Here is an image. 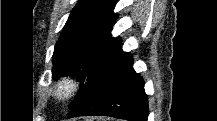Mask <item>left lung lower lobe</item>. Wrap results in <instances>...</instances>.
I'll return each mask as SVG.
<instances>
[{"label": "left lung lower lobe", "instance_id": "obj_1", "mask_svg": "<svg viewBox=\"0 0 217 121\" xmlns=\"http://www.w3.org/2000/svg\"><path fill=\"white\" fill-rule=\"evenodd\" d=\"M130 53L121 45L85 89L69 117L104 115L147 121L148 100L143 79L134 71Z\"/></svg>", "mask_w": 217, "mask_h": 121}]
</instances>
